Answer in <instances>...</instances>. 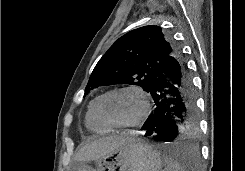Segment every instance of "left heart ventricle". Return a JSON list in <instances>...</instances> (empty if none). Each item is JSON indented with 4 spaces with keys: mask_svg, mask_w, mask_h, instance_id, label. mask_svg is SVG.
I'll return each mask as SVG.
<instances>
[{
    "mask_svg": "<svg viewBox=\"0 0 245 171\" xmlns=\"http://www.w3.org/2000/svg\"><path fill=\"white\" fill-rule=\"evenodd\" d=\"M142 108L139 96L131 91L113 93L103 102L105 117L113 123H127L134 120Z\"/></svg>",
    "mask_w": 245,
    "mask_h": 171,
    "instance_id": "b2bd125f",
    "label": "left heart ventricle"
}]
</instances>
